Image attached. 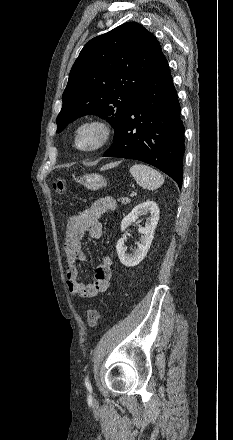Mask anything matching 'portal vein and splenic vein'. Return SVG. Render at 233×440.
<instances>
[{"mask_svg": "<svg viewBox=\"0 0 233 440\" xmlns=\"http://www.w3.org/2000/svg\"><path fill=\"white\" fill-rule=\"evenodd\" d=\"M135 195H136V193L133 192L130 194V197H134Z\"/></svg>", "mask_w": 233, "mask_h": 440, "instance_id": "1", "label": "portal vein and splenic vein"}]
</instances>
